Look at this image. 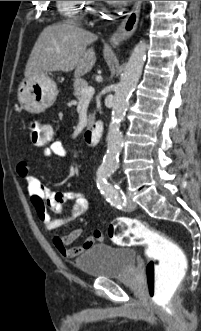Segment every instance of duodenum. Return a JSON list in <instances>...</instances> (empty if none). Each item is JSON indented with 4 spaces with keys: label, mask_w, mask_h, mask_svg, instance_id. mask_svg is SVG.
<instances>
[{
    "label": "duodenum",
    "mask_w": 201,
    "mask_h": 331,
    "mask_svg": "<svg viewBox=\"0 0 201 331\" xmlns=\"http://www.w3.org/2000/svg\"><path fill=\"white\" fill-rule=\"evenodd\" d=\"M102 134H103L102 123L93 122L87 127L84 133V139L88 144L92 146H96L100 143Z\"/></svg>",
    "instance_id": "obj_1"
}]
</instances>
